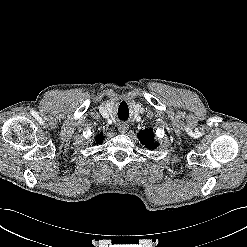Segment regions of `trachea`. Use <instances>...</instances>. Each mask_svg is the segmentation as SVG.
Returning <instances> with one entry per match:
<instances>
[{
    "label": "trachea",
    "mask_w": 247,
    "mask_h": 247,
    "mask_svg": "<svg viewBox=\"0 0 247 247\" xmlns=\"http://www.w3.org/2000/svg\"><path fill=\"white\" fill-rule=\"evenodd\" d=\"M118 116L121 120H127L128 113H119Z\"/></svg>",
    "instance_id": "1"
}]
</instances>
